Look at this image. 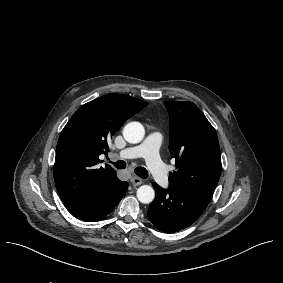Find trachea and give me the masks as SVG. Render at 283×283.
Wrapping results in <instances>:
<instances>
[{
  "mask_svg": "<svg viewBox=\"0 0 283 283\" xmlns=\"http://www.w3.org/2000/svg\"><path fill=\"white\" fill-rule=\"evenodd\" d=\"M108 163L113 164L117 169H125L127 164L123 160H119L117 162L108 161ZM134 172L136 175H138L141 178H147L148 172L144 167H136L134 169Z\"/></svg>",
  "mask_w": 283,
  "mask_h": 283,
  "instance_id": "obj_1",
  "label": "trachea"
}]
</instances>
